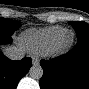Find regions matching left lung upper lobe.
Listing matches in <instances>:
<instances>
[{
  "label": "left lung upper lobe",
  "mask_w": 89,
  "mask_h": 89,
  "mask_svg": "<svg viewBox=\"0 0 89 89\" xmlns=\"http://www.w3.org/2000/svg\"><path fill=\"white\" fill-rule=\"evenodd\" d=\"M69 23L75 29L77 38L81 37L89 38V25L87 23L83 21L80 22L70 21Z\"/></svg>",
  "instance_id": "obj_1"
}]
</instances>
